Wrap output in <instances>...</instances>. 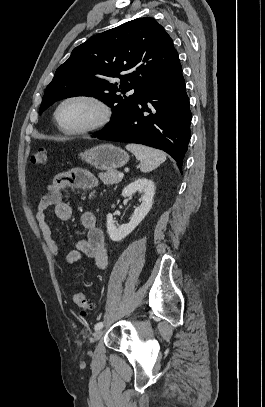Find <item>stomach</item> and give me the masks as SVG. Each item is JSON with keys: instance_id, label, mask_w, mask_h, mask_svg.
Segmentation results:
<instances>
[{"instance_id": "obj_1", "label": "stomach", "mask_w": 265, "mask_h": 407, "mask_svg": "<svg viewBox=\"0 0 265 407\" xmlns=\"http://www.w3.org/2000/svg\"><path fill=\"white\" fill-rule=\"evenodd\" d=\"M83 161L99 170H115L129 161V155L112 144H101L80 154Z\"/></svg>"}]
</instances>
